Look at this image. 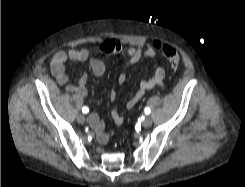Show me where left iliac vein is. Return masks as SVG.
Returning a JSON list of instances; mask_svg holds the SVG:
<instances>
[{
	"label": "left iliac vein",
	"instance_id": "1",
	"mask_svg": "<svg viewBox=\"0 0 245 187\" xmlns=\"http://www.w3.org/2000/svg\"><path fill=\"white\" fill-rule=\"evenodd\" d=\"M143 127L148 128L152 125V119L150 117H146L142 122Z\"/></svg>",
	"mask_w": 245,
	"mask_h": 187
}]
</instances>
